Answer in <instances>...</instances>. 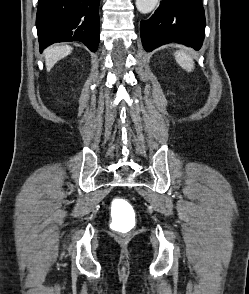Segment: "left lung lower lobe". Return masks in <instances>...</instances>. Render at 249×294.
<instances>
[{"label": "left lung lower lobe", "mask_w": 249, "mask_h": 294, "mask_svg": "<svg viewBox=\"0 0 249 294\" xmlns=\"http://www.w3.org/2000/svg\"><path fill=\"white\" fill-rule=\"evenodd\" d=\"M141 40L146 51L176 42L196 50L205 35L202 0H162L155 13L140 23Z\"/></svg>", "instance_id": "left-lung-lower-lobe-1"}]
</instances>
